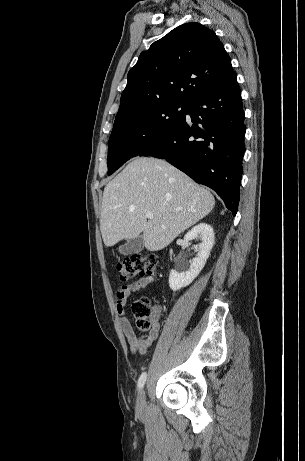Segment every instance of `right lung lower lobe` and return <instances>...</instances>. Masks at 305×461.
<instances>
[{"label":"right lung lower lobe","instance_id":"98d812e1","mask_svg":"<svg viewBox=\"0 0 305 461\" xmlns=\"http://www.w3.org/2000/svg\"><path fill=\"white\" fill-rule=\"evenodd\" d=\"M184 119L165 140L139 156L166 159L217 192L236 215L242 176L244 111L236 73L194 98Z\"/></svg>","mask_w":305,"mask_h":461}]
</instances>
